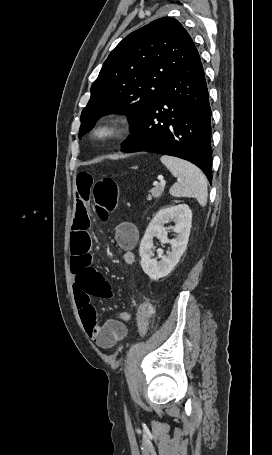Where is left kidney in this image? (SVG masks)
I'll return each mask as SVG.
<instances>
[{"instance_id": "left-kidney-1", "label": "left kidney", "mask_w": 272, "mask_h": 455, "mask_svg": "<svg viewBox=\"0 0 272 455\" xmlns=\"http://www.w3.org/2000/svg\"><path fill=\"white\" fill-rule=\"evenodd\" d=\"M170 220L175 222V226L164 227V224ZM191 222L192 211L186 204L164 207L151 220L139 248L141 267L150 279L158 280L167 276L177 265L187 247ZM169 229H172L177 234L175 239H168L167 233ZM155 237L163 244L169 243L172 249L167 255H163V250L158 249L157 254L161 259L160 261L152 258L154 256L153 239Z\"/></svg>"}]
</instances>
